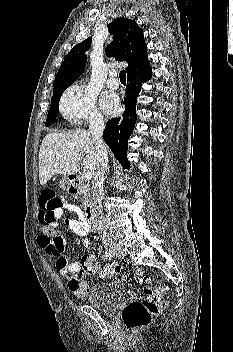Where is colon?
Instances as JSON below:
<instances>
[{"label": "colon", "mask_w": 233, "mask_h": 352, "mask_svg": "<svg viewBox=\"0 0 233 352\" xmlns=\"http://www.w3.org/2000/svg\"><path fill=\"white\" fill-rule=\"evenodd\" d=\"M41 237L58 245L64 243L62 234L49 221L40 222ZM82 269L69 277V288L77 298H85L89 292L86 276L100 273L105 278H123L122 268L117 264H108L101 270L100 261L94 254H86L81 258ZM137 282L141 285V300L128 303L122 311V320L128 329L134 330L148 325L152 318L167 307L162 300L166 287L162 284L151 285L148 277L137 274Z\"/></svg>", "instance_id": "5ec220e1"}]
</instances>
